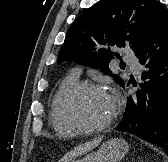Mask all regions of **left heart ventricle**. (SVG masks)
Listing matches in <instances>:
<instances>
[{"label":"left heart ventricle","instance_id":"b2bd125f","mask_svg":"<svg viewBox=\"0 0 168 162\" xmlns=\"http://www.w3.org/2000/svg\"><path fill=\"white\" fill-rule=\"evenodd\" d=\"M70 111L83 123L98 125L104 123L112 114L113 101L105 93L83 91L71 100Z\"/></svg>","mask_w":168,"mask_h":162}]
</instances>
